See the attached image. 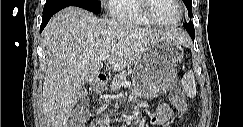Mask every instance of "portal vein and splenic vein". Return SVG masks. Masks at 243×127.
Instances as JSON below:
<instances>
[{"label":"portal vein and splenic vein","mask_w":243,"mask_h":127,"mask_svg":"<svg viewBox=\"0 0 243 127\" xmlns=\"http://www.w3.org/2000/svg\"><path fill=\"white\" fill-rule=\"evenodd\" d=\"M108 57H109V52H108V51H104V52L101 53L100 56H99V58H100L102 61L107 60ZM126 85H129V82H127Z\"/></svg>","instance_id":"obj_1"}]
</instances>
